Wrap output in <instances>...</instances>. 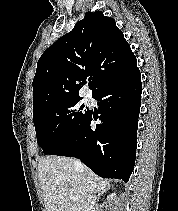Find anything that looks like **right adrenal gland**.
I'll return each mask as SVG.
<instances>
[{"label":"right adrenal gland","instance_id":"right-adrenal-gland-1","mask_svg":"<svg viewBox=\"0 0 178 211\" xmlns=\"http://www.w3.org/2000/svg\"><path fill=\"white\" fill-rule=\"evenodd\" d=\"M111 187H112V186L108 184L106 189L102 190L101 192H99V193L97 194L96 200H99L100 196L103 195V193H104L106 190L110 189Z\"/></svg>","mask_w":178,"mask_h":211}]
</instances>
